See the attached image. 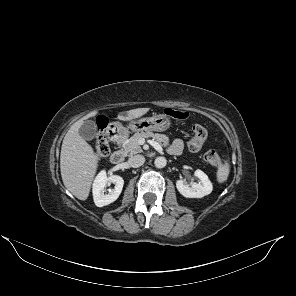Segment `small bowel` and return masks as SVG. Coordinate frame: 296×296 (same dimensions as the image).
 Instances as JSON below:
<instances>
[{"label": "small bowel", "instance_id": "small-bowel-1", "mask_svg": "<svg viewBox=\"0 0 296 296\" xmlns=\"http://www.w3.org/2000/svg\"><path fill=\"white\" fill-rule=\"evenodd\" d=\"M184 147L181 139H175L168 148V152L172 155H178L182 152Z\"/></svg>", "mask_w": 296, "mask_h": 296}]
</instances>
